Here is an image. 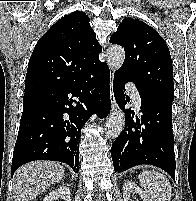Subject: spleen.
Masks as SVG:
<instances>
[{
    "label": "spleen",
    "instance_id": "obj_1",
    "mask_svg": "<svg viewBox=\"0 0 196 201\" xmlns=\"http://www.w3.org/2000/svg\"><path fill=\"white\" fill-rule=\"evenodd\" d=\"M138 178L153 201H170L172 190L165 175L156 171H143Z\"/></svg>",
    "mask_w": 196,
    "mask_h": 201
}]
</instances>
